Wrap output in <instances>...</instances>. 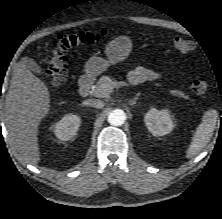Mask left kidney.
I'll return each instance as SVG.
<instances>
[{"instance_id": "obj_1", "label": "left kidney", "mask_w": 222, "mask_h": 219, "mask_svg": "<svg viewBox=\"0 0 222 219\" xmlns=\"http://www.w3.org/2000/svg\"><path fill=\"white\" fill-rule=\"evenodd\" d=\"M144 122L148 130L154 136H164L169 134L174 123L168 109L158 110L151 108L144 116Z\"/></svg>"}]
</instances>
